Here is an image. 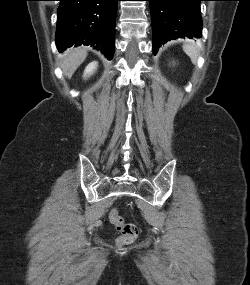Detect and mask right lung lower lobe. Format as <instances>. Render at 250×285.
I'll return each instance as SVG.
<instances>
[{
	"label": "right lung lower lobe",
	"instance_id": "98d812e1",
	"mask_svg": "<svg viewBox=\"0 0 250 285\" xmlns=\"http://www.w3.org/2000/svg\"><path fill=\"white\" fill-rule=\"evenodd\" d=\"M57 47L91 45L109 60L115 46V22L119 0H59Z\"/></svg>",
	"mask_w": 250,
	"mask_h": 285
}]
</instances>
